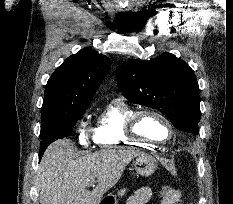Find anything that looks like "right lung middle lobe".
I'll return each mask as SVG.
<instances>
[{"instance_id":"dd1d6c3e","label":"right lung middle lobe","mask_w":233,"mask_h":204,"mask_svg":"<svg viewBox=\"0 0 233 204\" xmlns=\"http://www.w3.org/2000/svg\"><path fill=\"white\" fill-rule=\"evenodd\" d=\"M85 110L70 112L68 114L42 119L41 147L50 145L51 142L69 136L72 127L81 119Z\"/></svg>"}]
</instances>
